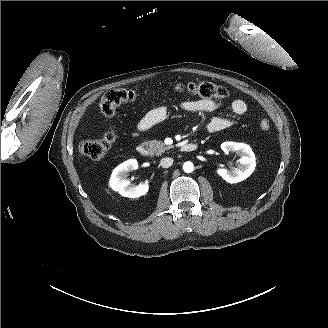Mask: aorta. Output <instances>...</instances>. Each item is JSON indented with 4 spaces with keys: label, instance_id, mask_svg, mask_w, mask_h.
Returning a JSON list of instances; mask_svg holds the SVG:
<instances>
[{
    "label": "aorta",
    "instance_id": "762f6f07",
    "mask_svg": "<svg viewBox=\"0 0 328 328\" xmlns=\"http://www.w3.org/2000/svg\"><path fill=\"white\" fill-rule=\"evenodd\" d=\"M183 170H184V172H186V173H191V172H193V170H194V165H193V163L190 162V161L184 162V164H183Z\"/></svg>",
    "mask_w": 328,
    "mask_h": 328
}]
</instances>
